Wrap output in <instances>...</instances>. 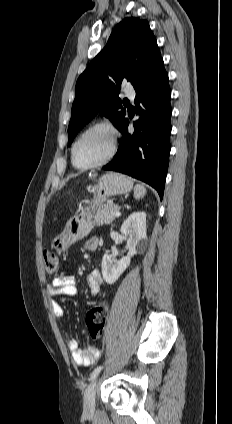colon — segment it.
<instances>
[{
    "instance_id": "1",
    "label": "colon",
    "mask_w": 232,
    "mask_h": 424,
    "mask_svg": "<svg viewBox=\"0 0 232 424\" xmlns=\"http://www.w3.org/2000/svg\"><path fill=\"white\" fill-rule=\"evenodd\" d=\"M43 261L47 273H54L58 270L60 261L58 256L53 251H44ZM108 312V307L104 304H100L92 308L87 313L86 325L89 334L93 339H97L103 334Z\"/></svg>"
}]
</instances>
